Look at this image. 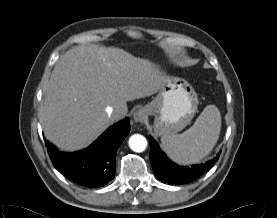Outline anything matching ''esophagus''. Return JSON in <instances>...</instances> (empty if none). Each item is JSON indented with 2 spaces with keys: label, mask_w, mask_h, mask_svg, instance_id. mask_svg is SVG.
Masks as SVG:
<instances>
[{
  "label": "esophagus",
  "mask_w": 277,
  "mask_h": 218,
  "mask_svg": "<svg viewBox=\"0 0 277 218\" xmlns=\"http://www.w3.org/2000/svg\"><path fill=\"white\" fill-rule=\"evenodd\" d=\"M147 116H148L147 109L146 108H140L134 113L133 118H134L135 122L142 123L146 120Z\"/></svg>",
  "instance_id": "esophagus-1"
}]
</instances>
